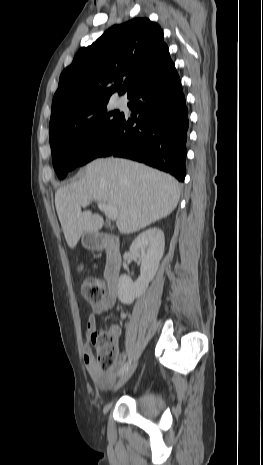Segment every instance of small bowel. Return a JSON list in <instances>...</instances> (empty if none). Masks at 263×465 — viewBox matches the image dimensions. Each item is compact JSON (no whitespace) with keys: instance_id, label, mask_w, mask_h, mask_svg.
Here are the masks:
<instances>
[{"instance_id":"c3829d8e","label":"small bowel","mask_w":263,"mask_h":465,"mask_svg":"<svg viewBox=\"0 0 263 465\" xmlns=\"http://www.w3.org/2000/svg\"><path fill=\"white\" fill-rule=\"evenodd\" d=\"M116 302V294L108 292L101 300L91 304V314L87 320V335H91L97 327V315L102 312L113 308ZM113 332L116 336L119 335V329H113ZM123 358V357H122ZM84 360L86 364L87 371L93 380V382L102 389L110 387L116 378L117 374L120 372L122 365L118 364L114 369L108 372H103L99 370L94 357L93 351L90 344H86L84 348Z\"/></svg>"}]
</instances>
